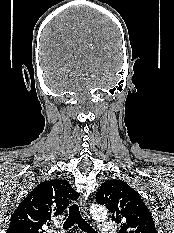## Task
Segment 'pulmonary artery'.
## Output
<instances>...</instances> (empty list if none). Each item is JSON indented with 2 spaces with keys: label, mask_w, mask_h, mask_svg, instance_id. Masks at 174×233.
Instances as JSON below:
<instances>
[{
  "label": "pulmonary artery",
  "mask_w": 174,
  "mask_h": 233,
  "mask_svg": "<svg viewBox=\"0 0 174 233\" xmlns=\"http://www.w3.org/2000/svg\"><path fill=\"white\" fill-rule=\"evenodd\" d=\"M99 230L101 231V233H115L116 225L113 222L104 221L100 223ZM55 233H60V232H55Z\"/></svg>",
  "instance_id": "obj_1"
}]
</instances>
